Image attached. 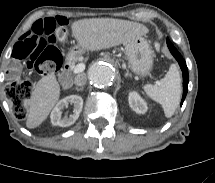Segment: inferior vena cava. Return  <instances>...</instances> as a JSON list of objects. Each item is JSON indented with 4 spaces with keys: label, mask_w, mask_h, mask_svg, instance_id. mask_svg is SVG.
Segmentation results:
<instances>
[{
    "label": "inferior vena cava",
    "mask_w": 215,
    "mask_h": 183,
    "mask_svg": "<svg viewBox=\"0 0 215 183\" xmlns=\"http://www.w3.org/2000/svg\"><path fill=\"white\" fill-rule=\"evenodd\" d=\"M86 81H87V76L84 73L78 74L74 80L77 86H84L86 84Z\"/></svg>",
    "instance_id": "1"
}]
</instances>
